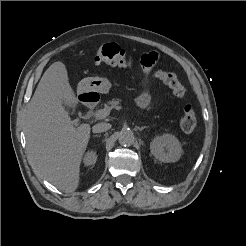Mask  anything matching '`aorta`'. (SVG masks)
Masks as SVG:
<instances>
[{"mask_svg": "<svg viewBox=\"0 0 246 246\" xmlns=\"http://www.w3.org/2000/svg\"><path fill=\"white\" fill-rule=\"evenodd\" d=\"M118 141L123 146H130L134 142V133L129 129H123L118 134Z\"/></svg>", "mask_w": 246, "mask_h": 246, "instance_id": "762f6f07", "label": "aorta"}]
</instances>
